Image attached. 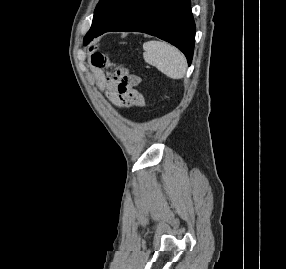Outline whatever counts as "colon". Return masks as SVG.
Masks as SVG:
<instances>
[{
  "label": "colon",
  "instance_id": "obj_1",
  "mask_svg": "<svg viewBox=\"0 0 286 269\" xmlns=\"http://www.w3.org/2000/svg\"><path fill=\"white\" fill-rule=\"evenodd\" d=\"M114 70H120L117 78L121 82L118 83V88H120L119 94L122 95V100H126L129 110H138V105L144 103V96L139 91V88H142V78L128 73L127 65H114Z\"/></svg>",
  "mask_w": 286,
  "mask_h": 269
}]
</instances>
